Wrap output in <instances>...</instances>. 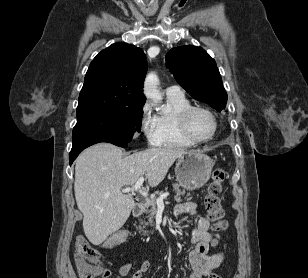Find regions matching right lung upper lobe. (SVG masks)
Masks as SVG:
<instances>
[{"mask_svg":"<svg viewBox=\"0 0 308 278\" xmlns=\"http://www.w3.org/2000/svg\"><path fill=\"white\" fill-rule=\"evenodd\" d=\"M147 60L142 49L123 42L101 51L91 62L79 95L77 116L144 105Z\"/></svg>","mask_w":308,"mask_h":278,"instance_id":"obj_1","label":"right lung upper lobe"}]
</instances>
